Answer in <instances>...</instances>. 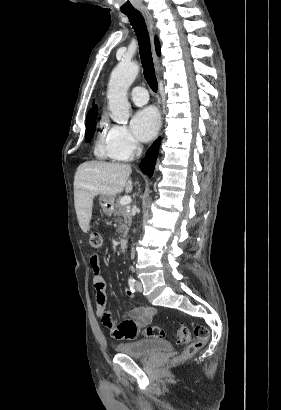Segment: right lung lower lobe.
<instances>
[{"instance_id": "right-lung-lower-lobe-1", "label": "right lung lower lobe", "mask_w": 281, "mask_h": 410, "mask_svg": "<svg viewBox=\"0 0 281 410\" xmlns=\"http://www.w3.org/2000/svg\"><path fill=\"white\" fill-rule=\"evenodd\" d=\"M160 146V139L156 140L153 145L148 149L145 158L140 163V169L148 176H152L154 172L155 161L158 156V150Z\"/></svg>"}]
</instances>
